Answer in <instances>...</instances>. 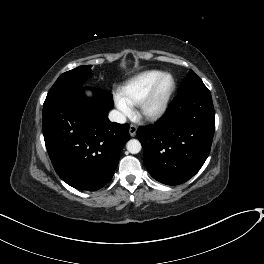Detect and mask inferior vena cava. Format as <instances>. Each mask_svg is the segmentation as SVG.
I'll return each instance as SVG.
<instances>
[{
	"label": "inferior vena cava",
	"mask_w": 264,
	"mask_h": 264,
	"mask_svg": "<svg viewBox=\"0 0 264 264\" xmlns=\"http://www.w3.org/2000/svg\"><path fill=\"white\" fill-rule=\"evenodd\" d=\"M109 119H110V121L117 122V123H125L126 122L125 115L118 110H112L109 113Z\"/></svg>",
	"instance_id": "1"
}]
</instances>
